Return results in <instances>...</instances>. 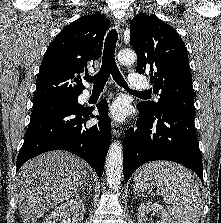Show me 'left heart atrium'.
<instances>
[{"instance_id":"left-heart-atrium-1","label":"left heart atrium","mask_w":221,"mask_h":223,"mask_svg":"<svg viewBox=\"0 0 221 223\" xmlns=\"http://www.w3.org/2000/svg\"><path fill=\"white\" fill-rule=\"evenodd\" d=\"M127 105L122 100H116L109 109V114L118 121H122L127 116Z\"/></svg>"}]
</instances>
